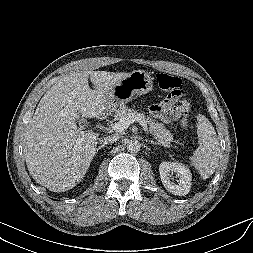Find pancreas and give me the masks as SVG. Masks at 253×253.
<instances>
[{
    "label": "pancreas",
    "mask_w": 253,
    "mask_h": 253,
    "mask_svg": "<svg viewBox=\"0 0 253 253\" xmlns=\"http://www.w3.org/2000/svg\"><path fill=\"white\" fill-rule=\"evenodd\" d=\"M132 113H136L126 105H121L115 110L114 120H120L121 118L127 117ZM143 121L149 125L150 133L155 139L166 147H170V143L173 141V136L169 130H167L162 123L155 122L149 117L146 118L144 114H140Z\"/></svg>",
    "instance_id": "1"
}]
</instances>
